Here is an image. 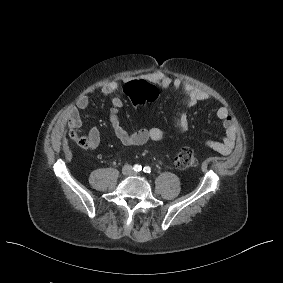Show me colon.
I'll return each instance as SVG.
<instances>
[{"label":"colon","mask_w":283,"mask_h":283,"mask_svg":"<svg viewBox=\"0 0 283 283\" xmlns=\"http://www.w3.org/2000/svg\"><path fill=\"white\" fill-rule=\"evenodd\" d=\"M125 94L134 105H142L147 102H153L159 96L158 88L146 81H131L124 88ZM71 138L82 148L89 147V140L80 130L70 124ZM175 165L179 169H189L197 164L196 154L191 148L181 149L174 159Z\"/></svg>","instance_id":"5ec220e1"}]
</instances>
